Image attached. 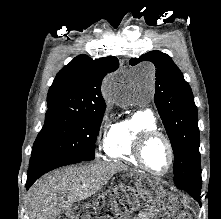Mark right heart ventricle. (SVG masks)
<instances>
[{"label": "right heart ventricle", "mask_w": 221, "mask_h": 219, "mask_svg": "<svg viewBox=\"0 0 221 219\" xmlns=\"http://www.w3.org/2000/svg\"><path fill=\"white\" fill-rule=\"evenodd\" d=\"M145 129H157L156 118L149 110L135 111L114 122L109 128L104 144L107 157L140 166L133 155V145L138 134Z\"/></svg>", "instance_id": "1"}]
</instances>
